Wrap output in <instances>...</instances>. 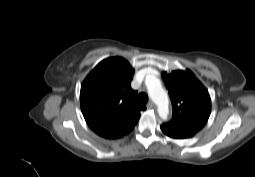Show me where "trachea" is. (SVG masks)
I'll list each match as a JSON object with an SVG mask.
<instances>
[{"label": "trachea", "instance_id": "obj_1", "mask_svg": "<svg viewBox=\"0 0 255 177\" xmlns=\"http://www.w3.org/2000/svg\"><path fill=\"white\" fill-rule=\"evenodd\" d=\"M137 101L140 103V104H143L145 105L147 102H148V96L146 93H139V95L137 96Z\"/></svg>", "mask_w": 255, "mask_h": 177}]
</instances>
